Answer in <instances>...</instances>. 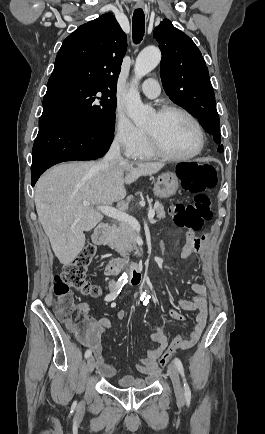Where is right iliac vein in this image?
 I'll list each match as a JSON object with an SVG mask.
<instances>
[{
	"mask_svg": "<svg viewBox=\"0 0 265 434\" xmlns=\"http://www.w3.org/2000/svg\"><path fill=\"white\" fill-rule=\"evenodd\" d=\"M95 360L93 356H90L87 360V372L91 374L94 371Z\"/></svg>",
	"mask_w": 265,
	"mask_h": 434,
	"instance_id": "63e3f726",
	"label": "right iliac vein"
}]
</instances>
